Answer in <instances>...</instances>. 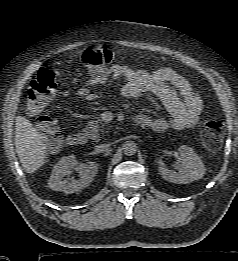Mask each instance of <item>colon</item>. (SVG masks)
Here are the masks:
<instances>
[{"label":"colon","instance_id":"1","mask_svg":"<svg viewBox=\"0 0 238 261\" xmlns=\"http://www.w3.org/2000/svg\"><path fill=\"white\" fill-rule=\"evenodd\" d=\"M114 58L113 52L106 47L88 49L81 55V62L90 75L100 77L106 74L108 66ZM58 88V74L52 66L39 69L32 79L27 91V106L29 112L36 116L39 128L50 137L51 146L57 148L60 144L56 121L44 110L48 102L55 96ZM224 123L216 118L207 117L201 126V137L209 150H217L224 137Z\"/></svg>","mask_w":238,"mask_h":261}]
</instances>
